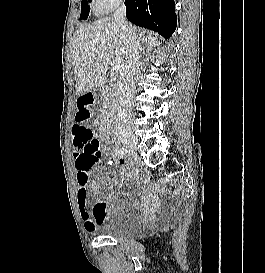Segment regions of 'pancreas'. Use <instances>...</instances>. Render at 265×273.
<instances>
[{"label": "pancreas", "mask_w": 265, "mask_h": 273, "mask_svg": "<svg viewBox=\"0 0 265 273\" xmlns=\"http://www.w3.org/2000/svg\"><path fill=\"white\" fill-rule=\"evenodd\" d=\"M117 87L113 84H107L102 89V109L103 111L114 110L116 106Z\"/></svg>", "instance_id": "pancreas-1"}]
</instances>
